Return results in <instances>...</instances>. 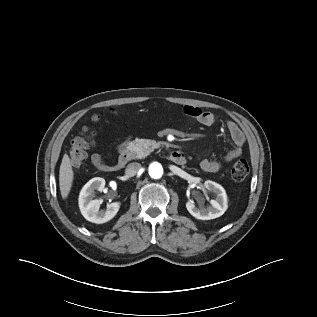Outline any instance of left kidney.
<instances>
[{
  "mask_svg": "<svg viewBox=\"0 0 317 317\" xmlns=\"http://www.w3.org/2000/svg\"><path fill=\"white\" fill-rule=\"evenodd\" d=\"M204 187L216 196L215 199L210 201L211 206L204 207L201 204L199 207H196L194 201L190 200L186 203V208L196 219L210 220L218 218L227 210V194L221 185L210 180L205 181Z\"/></svg>",
  "mask_w": 317,
  "mask_h": 317,
  "instance_id": "left-kidney-1",
  "label": "left kidney"
}]
</instances>
